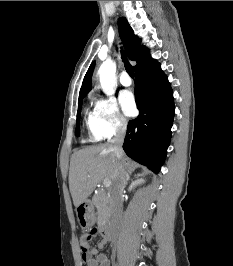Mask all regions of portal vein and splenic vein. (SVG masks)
Returning a JSON list of instances; mask_svg holds the SVG:
<instances>
[{
    "mask_svg": "<svg viewBox=\"0 0 233 266\" xmlns=\"http://www.w3.org/2000/svg\"><path fill=\"white\" fill-rule=\"evenodd\" d=\"M103 184L105 187H109L111 185V181L109 179H104Z\"/></svg>",
    "mask_w": 233,
    "mask_h": 266,
    "instance_id": "portal-vein-and-splenic-vein-1",
    "label": "portal vein and splenic vein"
}]
</instances>
